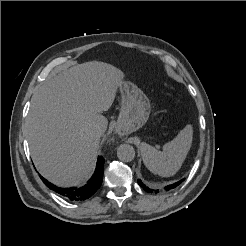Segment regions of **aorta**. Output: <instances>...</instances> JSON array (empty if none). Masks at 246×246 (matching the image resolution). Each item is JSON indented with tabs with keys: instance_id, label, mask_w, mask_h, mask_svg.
Segmentation results:
<instances>
[{
	"instance_id": "1",
	"label": "aorta",
	"mask_w": 246,
	"mask_h": 246,
	"mask_svg": "<svg viewBox=\"0 0 246 246\" xmlns=\"http://www.w3.org/2000/svg\"><path fill=\"white\" fill-rule=\"evenodd\" d=\"M117 157L121 161L130 162L135 158V150L129 144H122L117 149Z\"/></svg>"
}]
</instances>
